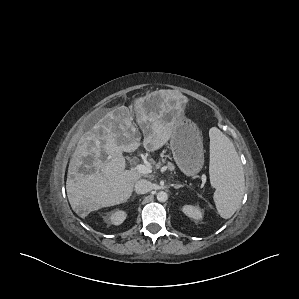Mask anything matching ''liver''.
I'll use <instances>...</instances> for the list:
<instances>
[{
	"label": "liver",
	"instance_id": "1",
	"mask_svg": "<svg viewBox=\"0 0 299 299\" xmlns=\"http://www.w3.org/2000/svg\"><path fill=\"white\" fill-rule=\"evenodd\" d=\"M166 108L158 113L152 103H136V121L147 151L160 149L170 139L173 121L164 119ZM139 146L140 133L132 122V111L124 105L107 112L80 138L66 181L69 203L78 216L85 218L92 211L130 198L141 174L125 170L123 152H134Z\"/></svg>",
	"mask_w": 299,
	"mask_h": 299
}]
</instances>
